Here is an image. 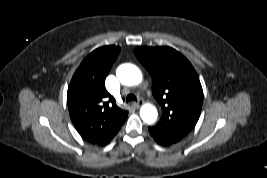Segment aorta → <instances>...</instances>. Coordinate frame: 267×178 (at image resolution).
I'll return each instance as SVG.
<instances>
[{"label": "aorta", "instance_id": "obj_1", "mask_svg": "<svg viewBox=\"0 0 267 178\" xmlns=\"http://www.w3.org/2000/svg\"><path fill=\"white\" fill-rule=\"evenodd\" d=\"M117 78L119 81L128 86H133L141 83L142 73L140 69L133 64H122L117 68ZM140 116L146 123H154L157 119V109L151 104H145L140 109Z\"/></svg>", "mask_w": 267, "mask_h": 178}]
</instances>
